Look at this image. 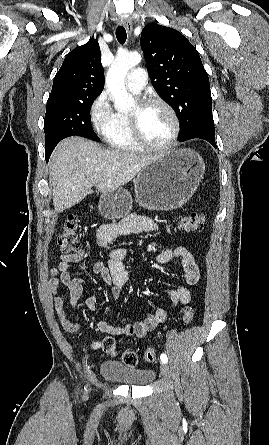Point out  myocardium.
<instances>
[{"mask_svg": "<svg viewBox=\"0 0 269 445\" xmlns=\"http://www.w3.org/2000/svg\"><path fill=\"white\" fill-rule=\"evenodd\" d=\"M159 105L163 107L170 115L173 122V131L167 141L160 145H154L148 142L142 134L140 117L142 112L149 106ZM130 128L136 143L143 149L153 152H164L176 142L180 133V121L173 107L165 100L158 97H146L140 99L135 108L129 113Z\"/></svg>", "mask_w": 269, "mask_h": 445, "instance_id": "f54148a6", "label": "myocardium"}]
</instances>
